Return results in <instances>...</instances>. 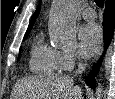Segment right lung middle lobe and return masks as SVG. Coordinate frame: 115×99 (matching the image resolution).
<instances>
[{"mask_svg": "<svg viewBox=\"0 0 115 99\" xmlns=\"http://www.w3.org/2000/svg\"><path fill=\"white\" fill-rule=\"evenodd\" d=\"M28 34H29V33L25 34V37H27Z\"/></svg>", "mask_w": 115, "mask_h": 99, "instance_id": "dd1d6c3e", "label": "right lung middle lobe"}]
</instances>
